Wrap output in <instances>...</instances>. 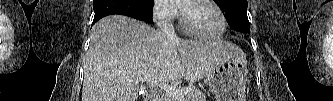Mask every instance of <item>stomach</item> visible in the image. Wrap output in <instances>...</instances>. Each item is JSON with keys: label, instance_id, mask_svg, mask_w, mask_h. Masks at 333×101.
Wrapping results in <instances>:
<instances>
[{"label": "stomach", "instance_id": "1", "mask_svg": "<svg viewBox=\"0 0 333 101\" xmlns=\"http://www.w3.org/2000/svg\"><path fill=\"white\" fill-rule=\"evenodd\" d=\"M247 61L236 46L228 58L220 61L206 76V82L217 101H245Z\"/></svg>", "mask_w": 333, "mask_h": 101}]
</instances>
